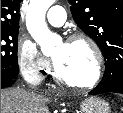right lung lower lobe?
I'll use <instances>...</instances> for the list:
<instances>
[{
	"instance_id": "98d812e1",
	"label": "right lung lower lobe",
	"mask_w": 123,
	"mask_h": 113,
	"mask_svg": "<svg viewBox=\"0 0 123 113\" xmlns=\"http://www.w3.org/2000/svg\"><path fill=\"white\" fill-rule=\"evenodd\" d=\"M15 79H1V88L13 85Z\"/></svg>"
}]
</instances>
